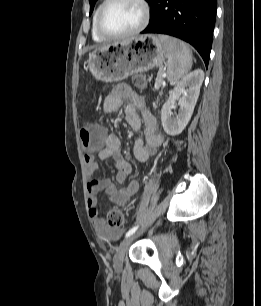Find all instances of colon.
<instances>
[{"mask_svg": "<svg viewBox=\"0 0 261 306\" xmlns=\"http://www.w3.org/2000/svg\"><path fill=\"white\" fill-rule=\"evenodd\" d=\"M137 82L140 83L141 79L137 78ZM80 138L82 142V149L86 153H93L101 148L104 140L103 128L94 123H88L81 127ZM126 223L125 214L113 209L108 213V225L113 228H122Z\"/></svg>", "mask_w": 261, "mask_h": 306, "instance_id": "colon-1", "label": "colon"}]
</instances>
